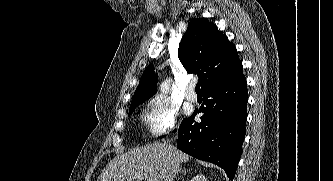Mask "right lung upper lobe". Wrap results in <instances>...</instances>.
<instances>
[{
  "instance_id": "obj_1",
  "label": "right lung upper lobe",
  "mask_w": 333,
  "mask_h": 181,
  "mask_svg": "<svg viewBox=\"0 0 333 181\" xmlns=\"http://www.w3.org/2000/svg\"><path fill=\"white\" fill-rule=\"evenodd\" d=\"M178 58L188 73L199 77L202 91L243 73L237 50L216 25L204 18L192 19L179 43ZM153 65L142 74L130 107L156 93Z\"/></svg>"
}]
</instances>
